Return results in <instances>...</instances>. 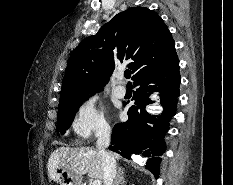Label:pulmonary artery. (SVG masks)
I'll return each instance as SVG.
<instances>
[{"mask_svg":"<svg viewBox=\"0 0 233 185\" xmlns=\"http://www.w3.org/2000/svg\"><path fill=\"white\" fill-rule=\"evenodd\" d=\"M117 79L119 81V84L115 88V93L118 97H124L126 95V87L123 85V79H124V74L119 73L117 75Z\"/></svg>","mask_w":233,"mask_h":185,"instance_id":"pulmonary-artery-1","label":"pulmonary artery"}]
</instances>
